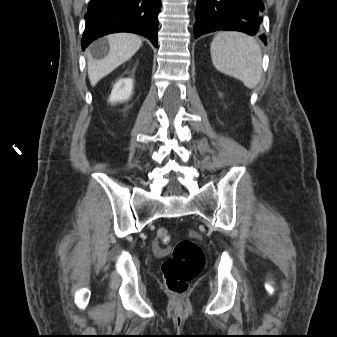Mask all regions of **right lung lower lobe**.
Segmentation results:
<instances>
[{
    "instance_id": "1",
    "label": "right lung lower lobe",
    "mask_w": 337,
    "mask_h": 337,
    "mask_svg": "<svg viewBox=\"0 0 337 337\" xmlns=\"http://www.w3.org/2000/svg\"><path fill=\"white\" fill-rule=\"evenodd\" d=\"M161 0H91L85 15L82 50L95 39L115 32L147 37L157 47Z\"/></svg>"
}]
</instances>
